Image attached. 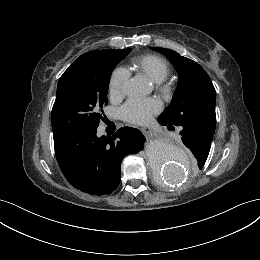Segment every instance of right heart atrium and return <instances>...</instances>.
I'll return each instance as SVG.
<instances>
[{
    "label": "right heart atrium",
    "instance_id": "right-heart-atrium-1",
    "mask_svg": "<svg viewBox=\"0 0 260 260\" xmlns=\"http://www.w3.org/2000/svg\"><path fill=\"white\" fill-rule=\"evenodd\" d=\"M128 78L129 73L124 68L118 67L114 69L109 81V94L111 98L117 99L123 95Z\"/></svg>",
    "mask_w": 260,
    "mask_h": 260
}]
</instances>
